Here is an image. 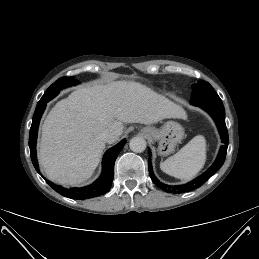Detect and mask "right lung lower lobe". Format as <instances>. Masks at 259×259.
<instances>
[{"instance_id": "obj_1", "label": "right lung lower lobe", "mask_w": 259, "mask_h": 259, "mask_svg": "<svg viewBox=\"0 0 259 259\" xmlns=\"http://www.w3.org/2000/svg\"><path fill=\"white\" fill-rule=\"evenodd\" d=\"M46 107V103H38L37 107L34 112L32 125L30 129V135H29V147H30V155L32 163L37 170V172L40 173L38 162L36 158V139H37V131H38V125L40 118L42 116V113L44 112ZM126 140L123 139L121 142H119L114 147L110 148L103 157V170L98 180H96L93 184L82 187V188H64L62 186L56 185L49 180H46V182L58 193L61 195L77 199V200H83V199H89L93 197L100 196L102 194H105L110 190L112 180L114 177V163L115 160L125 145Z\"/></svg>"}]
</instances>
